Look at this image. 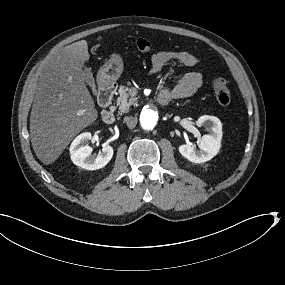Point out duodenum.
Returning <instances> with one entry per match:
<instances>
[{
    "instance_id": "1",
    "label": "duodenum",
    "mask_w": 285,
    "mask_h": 285,
    "mask_svg": "<svg viewBox=\"0 0 285 285\" xmlns=\"http://www.w3.org/2000/svg\"><path fill=\"white\" fill-rule=\"evenodd\" d=\"M115 91H116V84L110 81L102 83L99 89L98 100L100 105L103 107V110L101 112V118L107 124H110L114 121V110L112 108V99ZM160 98L161 97L159 95V99ZM160 101L166 103L169 101V99L165 97L160 99Z\"/></svg>"
}]
</instances>
